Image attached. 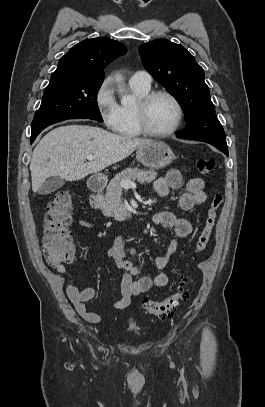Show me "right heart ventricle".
<instances>
[{
    "mask_svg": "<svg viewBox=\"0 0 265 407\" xmlns=\"http://www.w3.org/2000/svg\"><path fill=\"white\" fill-rule=\"evenodd\" d=\"M130 86L138 100L150 92V87L133 83H130ZM135 106L136 105L129 106L124 104L119 106V122L115 131L121 137L137 138L142 135L136 124Z\"/></svg>",
    "mask_w": 265,
    "mask_h": 407,
    "instance_id": "e07e8e85",
    "label": "right heart ventricle"
}]
</instances>
